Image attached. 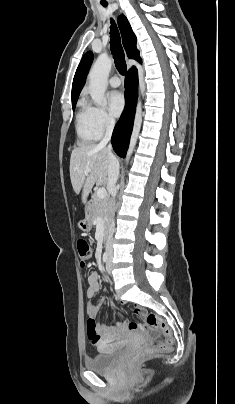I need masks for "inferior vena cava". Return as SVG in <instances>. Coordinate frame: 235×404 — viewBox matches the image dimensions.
<instances>
[{
  "label": "inferior vena cava",
  "mask_w": 235,
  "mask_h": 404,
  "mask_svg": "<svg viewBox=\"0 0 235 404\" xmlns=\"http://www.w3.org/2000/svg\"><path fill=\"white\" fill-rule=\"evenodd\" d=\"M114 125H115V120L113 118H107L106 123H105L106 132H105V136H104L103 140L100 143L101 145H105L108 142H110ZM107 150H108V155H109V170H108L107 187H108V190L111 193V195L113 197H115L116 196L115 184H116L118 176H119V162H118L117 158L112 154L111 144L108 145ZM114 231H115V222H114V219H112L110 227H109V234L107 236L106 245H105L106 252H108L109 254H112V252H113L112 241H113Z\"/></svg>",
  "instance_id": "inferior-vena-cava-1"
}]
</instances>
